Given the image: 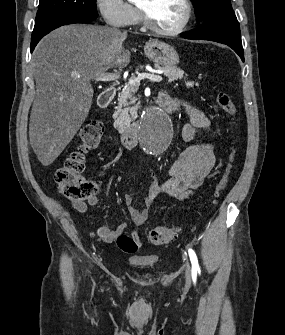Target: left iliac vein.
I'll list each match as a JSON object with an SVG mask.
<instances>
[{
    "mask_svg": "<svg viewBox=\"0 0 285 335\" xmlns=\"http://www.w3.org/2000/svg\"><path fill=\"white\" fill-rule=\"evenodd\" d=\"M185 278L187 283H190V266L186 263Z\"/></svg>",
    "mask_w": 285,
    "mask_h": 335,
    "instance_id": "left-iliac-vein-1",
    "label": "left iliac vein"
}]
</instances>
